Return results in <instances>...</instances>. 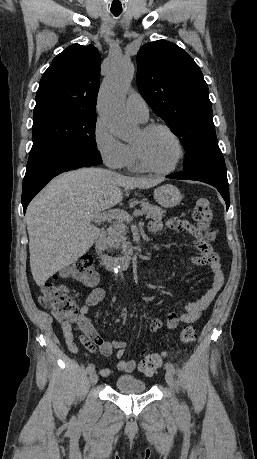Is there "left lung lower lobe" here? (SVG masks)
Here are the masks:
<instances>
[{
    "label": "left lung lower lobe",
    "instance_id": "left-lung-lower-lobe-1",
    "mask_svg": "<svg viewBox=\"0 0 257 459\" xmlns=\"http://www.w3.org/2000/svg\"><path fill=\"white\" fill-rule=\"evenodd\" d=\"M172 179H187L205 182L214 186L226 202L227 210L230 205L229 185L226 175V165L218 143L211 148L210 157L206 163L196 170H186L168 176Z\"/></svg>",
    "mask_w": 257,
    "mask_h": 459
}]
</instances>
